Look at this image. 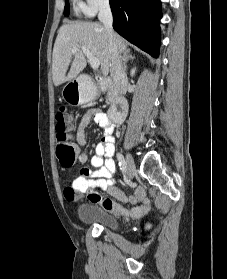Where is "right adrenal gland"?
I'll return each instance as SVG.
<instances>
[{
    "label": "right adrenal gland",
    "instance_id": "1",
    "mask_svg": "<svg viewBox=\"0 0 227 279\" xmlns=\"http://www.w3.org/2000/svg\"><path fill=\"white\" fill-rule=\"evenodd\" d=\"M133 59H135V57L132 56L131 51L129 49L125 50L124 53H123V58H122V60H123V67H124L125 71L127 69V65H126L127 62L129 60H133Z\"/></svg>",
    "mask_w": 227,
    "mask_h": 279
}]
</instances>
